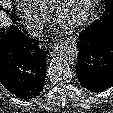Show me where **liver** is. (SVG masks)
Returning <instances> with one entry per match:
<instances>
[{
    "label": "liver",
    "instance_id": "obj_1",
    "mask_svg": "<svg viewBox=\"0 0 113 113\" xmlns=\"http://www.w3.org/2000/svg\"><path fill=\"white\" fill-rule=\"evenodd\" d=\"M0 5H2L4 8L8 7L10 5V0H0ZM11 21L10 19L7 17V15L1 11L0 12V28L3 27H8L10 26Z\"/></svg>",
    "mask_w": 113,
    "mask_h": 113
}]
</instances>
